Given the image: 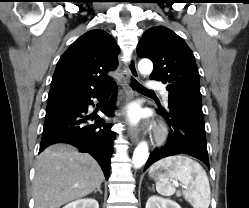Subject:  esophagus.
Wrapping results in <instances>:
<instances>
[{
  "instance_id": "34e87169",
  "label": "esophagus",
  "mask_w": 249,
  "mask_h": 208,
  "mask_svg": "<svg viewBox=\"0 0 249 208\" xmlns=\"http://www.w3.org/2000/svg\"><path fill=\"white\" fill-rule=\"evenodd\" d=\"M128 68V79H127V101H131L136 97V93L132 90L131 86L133 84L134 79L139 78V73L137 70L136 59L132 57L131 60L127 64ZM128 135L133 143H137L139 140V131L135 127H130L128 130Z\"/></svg>"
}]
</instances>
